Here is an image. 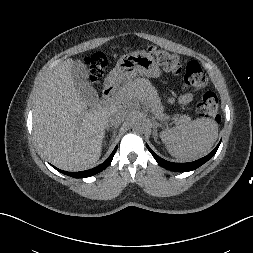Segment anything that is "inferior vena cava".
Returning <instances> with one entry per match:
<instances>
[{"instance_id":"1","label":"inferior vena cava","mask_w":253,"mask_h":253,"mask_svg":"<svg viewBox=\"0 0 253 253\" xmlns=\"http://www.w3.org/2000/svg\"><path fill=\"white\" fill-rule=\"evenodd\" d=\"M127 115V110H113L109 115V124L111 126H119L127 118Z\"/></svg>"}]
</instances>
